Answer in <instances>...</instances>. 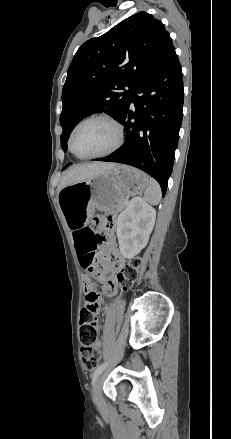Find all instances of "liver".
Segmentation results:
<instances>
[{
    "label": "liver",
    "instance_id": "liver-1",
    "mask_svg": "<svg viewBox=\"0 0 231 439\" xmlns=\"http://www.w3.org/2000/svg\"><path fill=\"white\" fill-rule=\"evenodd\" d=\"M115 163L94 162L87 164H78L70 167L62 176L58 186V191L63 188L82 181H86L100 173H103L116 166Z\"/></svg>",
    "mask_w": 231,
    "mask_h": 439
}]
</instances>
